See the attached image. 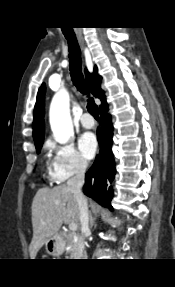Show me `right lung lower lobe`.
Here are the masks:
<instances>
[{
    "label": "right lung lower lobe",
    "mask_w": 175,
    "mask_h": 287,
    "mask_svg": "<svg viewBox=\"0 0 175 287\" xmlns=\"http://www.w3.org/2000/svg\"><path fill=\"white\" fill-rule=\"evenodd\" d=\"M100 116L101 128H98L97 139L101 149L92 167L86 173L83 192L103 207H109L112 210L110 205L113 196L111 183L115 176V165L111 151L113 126L108 106L100 110Z\"/></svg>",
    "instance_id": "98d812e1"
}]
</instances>
